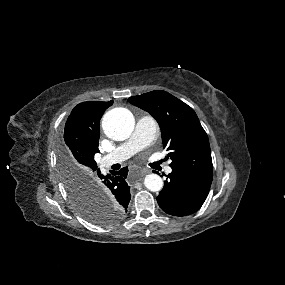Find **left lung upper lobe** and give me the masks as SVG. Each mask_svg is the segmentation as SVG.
I'll return each instance as SVG.
<instances>
[{
  "instance_id": "1",
  "label": "left lung upper lobe",
  "mask_w": 285,
  "mask_h": 285,
  "mask_svg": "<svg viewBox=\"0 0 285 285\" xmlns=\"http://www.w3.org/2000/svg\"><path fill=\"white\" fill-rule=\"evenodd\" d=\"M128 101L157 120L172 170L212 176L209 140L190 106L160 90L130 97Z\"/></svg>"
}]
</instances>
